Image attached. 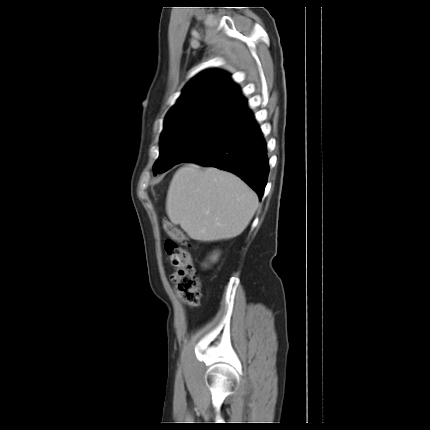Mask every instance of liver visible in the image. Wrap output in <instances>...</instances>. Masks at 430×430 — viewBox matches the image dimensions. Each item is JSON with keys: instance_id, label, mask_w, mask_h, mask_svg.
Masks as SVG:
<instances>
[{"instance_id": "6515ba94", "label": "liver", "mask_w": 430, "mask_h": 430, "mask_svg": "<svg viewBox=\"0 0 430 430\" xmlns=\"http://www.w3.org/2000/svg\"><path fill=\"white\" fill-rule=\"evenodd\" d=\"M258 203L256 193L233 173L191 163L173 176L166 211L190 238L206 242L240 235Z\"/></svg>"}]
</instances>
